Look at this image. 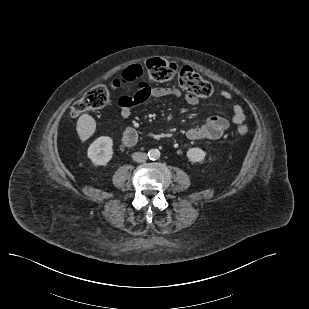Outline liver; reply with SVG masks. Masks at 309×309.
<instances>
[{"mask_svg":"<svg viewBox=\"0 0 309 309\" xmlns=\"http://www.w3.org/2000/svg\"><path fill=\"white\" fill-rule=\"evenodd\" d=\"M96 122L88 114H83L77 121L76 130L82 142L89 139L95 132Z\"/></svg>","mask_w":309,"mask_h":309,"instance_id":"1","label":"liver"}]
</instances>
